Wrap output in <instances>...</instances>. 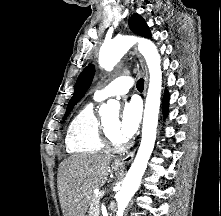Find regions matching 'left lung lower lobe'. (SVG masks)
I'll list each match as a JSON object with an SVG mask.
<instances>
[{"instance_id":"1","label":"left lung lower lobe","mask_w":221,"mask_h":216,"mask_svg":"<svg viewBox=\"0 0 221 216\" xmlns=\"http://www.w3.org/2000/svg\"><path fill=\"white\" fill-rule=\"evenodd\" d=\"M168 102H169V95L165 92L164 99H163V115L166 117L168 111Z\"/></svg>"}]
</instances>
